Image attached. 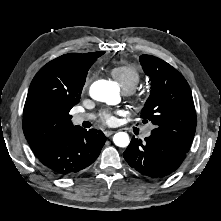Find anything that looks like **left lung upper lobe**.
Returning <instances> with one entry per match:
<instances>
[{"instance_id":"5c2ea615","label":"left lung upper lobe","mask_w":221,"mask_h":221,"mask_svg":"<svg viewBox=\"0 0 221 221\" xmlns=\"http://www.w3.org/2000/svg\"><path fill=\"white\" fill-rule=\"evenodd\" d=\"M140 63L151 79V93L141 118L151 121V135L188 152L196 130V112L191 89L185 78L167 62L141 55Z\"/></svg>"}]
</instances>
